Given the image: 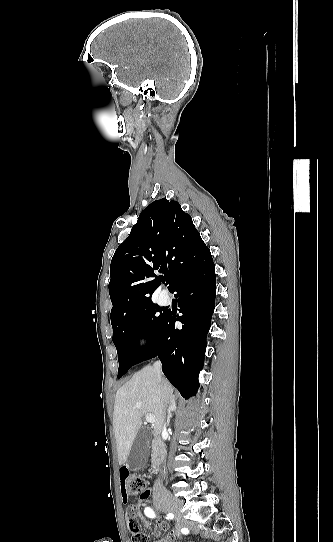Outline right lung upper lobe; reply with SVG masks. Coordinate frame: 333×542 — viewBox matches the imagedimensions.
<instances>
[{
  "mask_svg": "<svg viewBox=\"0 0 333 542\" xmlns=\"http://www.w3.org/2000/svg\"><path fill=\"white\" fill-rule=\"evenodd\" d=\"M201 240L192 218L176 201L166 198L147 206L111 261V319L152 303L160 285L154 271L164 273L169 287L176 278V253ZM155 277L154 280L148 279Z\"/></svg>",
  "mask_w": 333,
  "mask_h": 542,
  "instance_id": "right-lung-upper-lobe-1",
  "label": "right lung upper lobe"
}]
</instances>
